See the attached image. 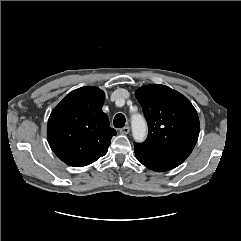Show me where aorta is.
Returning <instances> with one entry per match:
<instances>
[{
	"instance_id": "aorta-1",
	"label": "aorta",
	"mask_w": 241,
	"mask_h": 241,
	"mask_svg": "<svg viewBox=\"0 0 241 241\" xmlns=\"http://www.w3.org/2000/svg\"><path fill=\"white\" fill-rule=\"evenodd\" d=\"M132 135L136 142H143L147 137V124L142 115L131 117Z\"/></svg>"
}]
</instances>
